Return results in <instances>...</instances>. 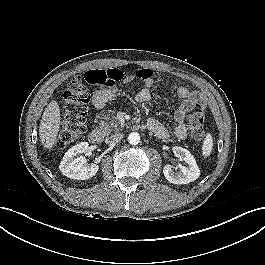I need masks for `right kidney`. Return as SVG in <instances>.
Instances as JSON below:
<instances>
[{
    "mask_svg": "<svg viewBox=\"0 0 265 265\" xmlns=\"http://www.w3.org/2000/svg\"><path fill=\"white\" fill-rule=\"evenodd\" d=\"M88 147V142H81L65 153L59 166L65 176L71 179L87 180L98 172L99 166L97 164H87V160L83 156L75 158L76 155L85 153Z\"/></svg>",
    "mask_w": 265,
    "mask_h": 265,
    "instance_id": "1",
    "label": "right kidney"
}]
</instances>
